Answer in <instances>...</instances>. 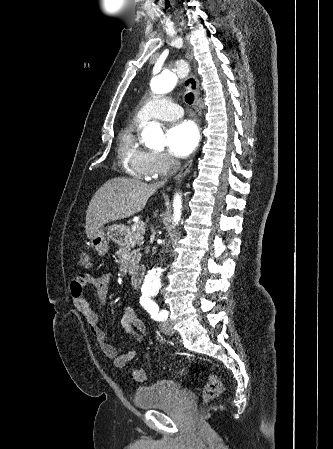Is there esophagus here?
Listing matches in <instances>:
<instances>
[{
  "label": "esophagus",
  "mask_w": 333,
  "mask_h": 449,
  "mask_svg": "<svg viewBox=\"0 0 333 449\" xmlns=\"http://www.w3.org/2000/svg\"><path fill=\"white\" fill-rule=\"evenodd\" d=\"M187 59L192 62L193 61V48L191 44L187 41ZM184 86L186 89L191 90L194 93L196 104H198L199 97H200V90H199V81L196 78V76L191 73L188 78L186 79ZM194 162V157L191 158L185 166L181 169V171L175 176V179L178 180L179 178H182L187 174L189 169L191 168L192 164Z\"/></svg>",
  "instance_id": "34e87169"
}]
</instances>
